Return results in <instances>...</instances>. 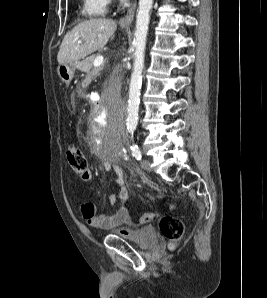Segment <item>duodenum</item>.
<instances>
[{"mask_svg":"<svg viewBox=\"0 0 267 298\" xmlns=\"http://www.w3.org/2000/svg\"><path fill=\"white\" fill-rule=\"evenodd\" d=\"M99 105H103V100L101 98H92L88 115H99Z\"/></svg>","mask_w":267,"mask_h":298,"instance_id":"410a0bca","label":"duodenum"}]
</instances>
